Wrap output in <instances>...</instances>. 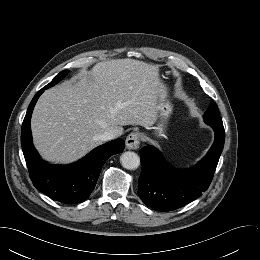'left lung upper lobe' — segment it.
Wrapping results in <instances>:
<instances>
[{
	"mask_svg": "<svg viewBox=\"0 0 260 260\" xmlns=\"http://www.w3.org/2000/svg\"><path fill=\"white\" fill-rule=\"evenodd\" d=\"M204 119L206 123L223 124L222 119L219 116V110L216 103H211V105L204 114Z\"/></svg>",
	"mask_w": 260,
	"mask_h": 260,
	"instance_id": "left-lung-upper-lobe-1",
	"label": "left lung upper lobe"
}]
</instances>
